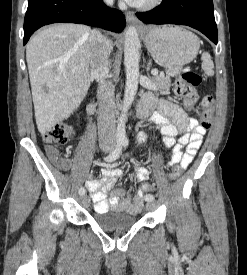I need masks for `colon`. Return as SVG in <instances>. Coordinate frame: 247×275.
Wrapping results in <instances>:
<instances>
[{
  "mask_svg": "<svg viewBox=\"0 0 247 275\" xmlns=\"http://www.w3.org/2000/svg\"><path fill=\"white\" fill-rule=\"evenodd\" d=\"M201 83V76L194 71H184L175 84V92L182 100L186 109H191L199 100L197 87ZM200 121L203 128L208 129L211 126L214 112V98L212 95H206L201 101ZM73 130L68 125H57L50 129L44 135V141L48 144L63 145L72 137ZM181 174V167L176 166L169 173L171 181L176 180ZM155 186L151 183H142L139 187L144 194L153 192Z\"/></svg>",
  "mask_w": 247,
  "mask_h": 275,
  "instance_id": "obj_1",
  "label": "colon"
}]
</instances>
